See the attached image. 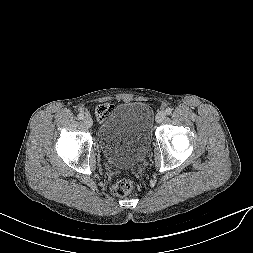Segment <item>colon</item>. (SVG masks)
Listing matches in <instances>:
<instances>
[{"label":"colon","mask_w":253,"mask_h":253,"mask_svg":"<svg viewBox=\"0 0 253 253\" xmlns=\"http://www.w3.org/2000/svg\"><path fill=\"white\" fill-rule=\"evenodd\" d=\"M112 110V106L108 104L101 105L97 109V116L99 119L106 118ZM134 182L130 179H121L117 181L112 187V193L116 196H126L134 189Z\"/></svg>","instance_id":"obj_1"}]
</instances>
